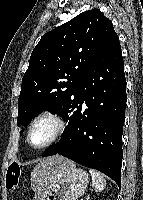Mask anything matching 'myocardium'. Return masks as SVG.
Segmentation results:
<instances>
[{
  "label": "myocardium",
  "instance_id": "f54148a6",
  "mask_svg": "<svg viewBox=\"0 0 143 200\" xmlns=\"http://www.w3.org/2000/svg\"><path fill=\"white\" fill-rule=\"evenodd\" d=\"M44 120L52 121L55 125V131H54L52 137L48 141H46L42 145L33 146L30 142L31 131L37 123L44 121ZM65 129H66V120L61 114H59L58 112H54V111L45 112V113L37 116L29 124V126L27 128V132H26V143L28 144L29 147H31L35 150L45 149V148L53 145L57 141H59L61 139V137L63 136Z\"/></svg>",
  "mask_w": 143,
  "mask_h": 200
}]
</instances>
